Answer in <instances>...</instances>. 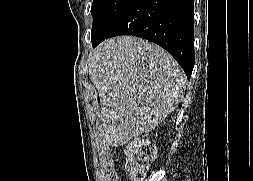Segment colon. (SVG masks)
<instances>
[{"instance_id":"5ec220e1","label":"colon","mask_w":253,"mask_h":181,"mask_svg":"<svg viewBox=\"0 0 253 181\" xmlns=\"http://www.w3.org/2000/svg\"><path fill=\"white\" fill-rule=\"evenodd\" d=\"M129 154L132 160L130 175L135 180H141L144 170L155 156V147L149 140L142 139L130 146Z\"/></svg>"}]
</instances>
